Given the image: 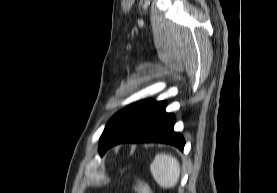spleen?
<instances>
[{"label":"spleen","instance_id":"spleen-1","mask_svg":"<svg viewBox=\"0 0 277 193\" xmlns=\"http://www.w3.org/2000/svg\"><path fill=\"white\" fill-rule=\"evenodd\" d=\"M153 178L164 189L173 188L180 177V164L178 160L169 154H157L150 164Z\"/></svg>","mask_w":277,"mask_h":193}]
</instances>
